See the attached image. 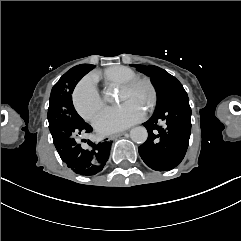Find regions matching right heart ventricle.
<instances>
[{
  "label": "right heart ventricle",
  "mask_w": 241,
  "mask_h": 241,
  "mask_svg": "<svg viewBox=\"0 0 241 241\" xmlns=\"http://www.w3.org/2000/svg\"><path fill=\"white\" fill-rule=\"evenodd\" d=\"M133 75H135L133 70L121 65L110 66L104 71V78L109 82L120 85L121 89L125 88L122 86L123 81Z\"/></svg>",
  "instance_id": "1"
}]
</instances>
